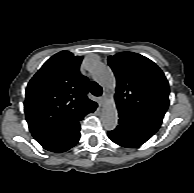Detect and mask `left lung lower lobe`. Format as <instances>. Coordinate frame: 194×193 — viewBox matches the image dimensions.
I'll return each instance as SVG.
<instances>
[{"mask_svg":"<svg viewBox=\"0 0 194 193\" xmlns=\"http://www.w3.org/2000/svg\"><path fill=\"white\" fill-rule=\"evenodd\" d=\"M118 126L108 132V137L116 144L135 148L150 139L159 129V125L142 118L119 112Z\"/></svg>","mask_w":194,"mask_h":193,"instance_id":"obj_1","label":"left lung lower lobe"}]
</instances>
